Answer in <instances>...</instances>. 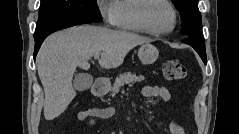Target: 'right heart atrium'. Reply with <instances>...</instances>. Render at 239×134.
Wrapping results in <instances>:
<instances>
[{
	"instance_id": "1",
	"label": "right heart atrium",
	"mask_w": 239,
	"mask_h": 134,
	"mask_svg": "<svg viewBox=\"0 0 239 134\" xmlns=\"http://www.w3.org/2000/svg\"><path fill=\"white\" fill-rule=\"evenodd\" d=\"M98 10L104 22L107 25L113 26L117 19V3L114 0L98 1Z\"/></svg>"
}]
</instances>
